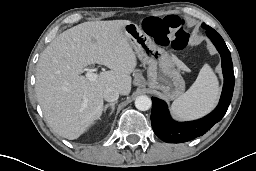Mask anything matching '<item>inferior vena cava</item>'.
<instances>
[{"label":"inferior vena cava","instance_id":"602c4592","mask_svg":"<svg viewBox=\"0 0 256 171\" xmlns=\"http://www.w3.org/2000/svg\"><path fill=\"white\" fill-rule=\"evenodd\" d=\"M118 97H119V92L115 88L109 87L104 90L103 98L105 101L115 102L117 101Z\"/></svg>","mask_w":256,"mask_h":171}]
</instances>
